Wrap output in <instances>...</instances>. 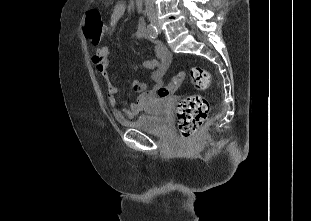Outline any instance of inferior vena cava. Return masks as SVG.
<instances>
[{"mask_svg":"<svg viewBox=\"0 0 311 221\" xmlns=\"http://www.w3.org/2000/svg\"><path fill=\"white\" fill-rule=\"evenodd\" d=\"M145 12L147 16H155L154 0H145Z\"/></svg>","mask_w":311,"mask_h":221,"instance_id":"obj_1","label":"inferior vena cava"}]
</instances>
